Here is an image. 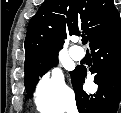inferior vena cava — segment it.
Returning a JSON list of instances; mask_svg holds the SVG:
<instances>
[{
	"label": "inferior vena cava",
	"mask_w": 121,
	"mask_h": 113,
	"mask_svg": "<svg viewBox=\"0 0 121 113\" xmlns=\"http://www.w3.org/2000/svg\"><path fill=\"white\" fill-rule=\"evenodd\" d=\"M67 113H78V110L75 105H71Z\"/></svg>",
	"instance_id": "obj_1"
}]
</instances>
